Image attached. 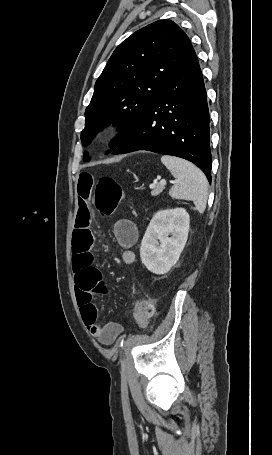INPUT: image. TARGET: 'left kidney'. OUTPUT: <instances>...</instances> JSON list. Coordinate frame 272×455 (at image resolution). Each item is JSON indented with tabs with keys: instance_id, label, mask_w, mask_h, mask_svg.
I'll list each match as a JSON object with an SVG mask.
<instances>
[{
	"instance_id": "obj_1",
	"label": "left kidney",
	"mask_w": 272,
	"mask_h": 455,
	"mask_svg": "<svg viewBox=\"0 0 272 455\" xmlns=\"http://www.w3.org/2000/svg\"><path fill=\"white\" fill-rule=\"evenodd\" d=\"M189 223L184 208L160 210L153 216L140 247L142 263L149 271L165 274L177 263L188 238Z\"/></svg>"
}]
</instances>
